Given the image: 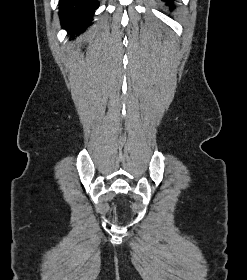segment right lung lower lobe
<instances>
[{
    "mask_svg": "<svg viewBox=\"0 0 247 280\" xmlns=\"http://www.w3.org/2000/svg\"><path fill=\"white\" fill-rule=\"evenodd\" d=\"M98 6L97 0H61L58 14L62 28L68 34L79 35L91 24Z\"/></svg>",
    "mask_w": 247,
    "mask_h": 280,
    "instance_id": "obj_1",
    "label": "right lung lower lobe"
}]
</instances>
